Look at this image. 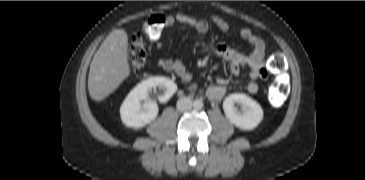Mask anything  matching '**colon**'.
Masks as SVG:
<instances>
[{"label":"colon","mask_w":365,"mask_h":180,"mask_svg":"<svg viewBox=\"0 0 365 180\" xmlns=\"http://www.w3.org/2000/svg\"><path fill=\"white\" fill-rule=\"evenodd\" d=\"M165 28V17L154 15L143 26L145 34L151 39H157ZM147 62V50L142 38L137 35L133 38L129 51V65L133 72L140 71ZM268 67L274 76V81L269 89L268 98L274 107L281 106L288 93V84L285 80L286 61L281 52H274L268 61Z\"/></svg>","instance_id":"5ec220e1"}]
</instances>
